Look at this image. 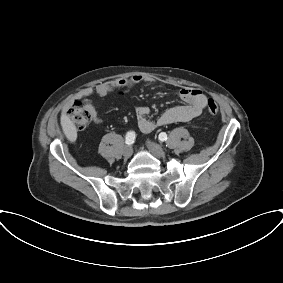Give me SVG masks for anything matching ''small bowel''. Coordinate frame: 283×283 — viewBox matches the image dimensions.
Wrapping results in <instances>:
<instances>
[{
    "mask_svg": "<svg viewBox=\"0 0 283 283\" xmlns=\"http://www.w3.org/2000/svg\"><path fill=\"white\" fill-rule=\"evenodd\" d=\"M154 82L155 80L152 77L134 75L128 79H119L113 82L101 83L94 89L86 88L80 92L79 98L84 104L91 108L93 121L97 124H100L103 122V120L91 104L90 98L93 94L98 96H106L113 92L124 94L137 84H153ZM179 96L185 102V104L166 109L156 120H150L148 118L150 109L147 106H136L135 114L139 129L143 133H150L160 126L175 122L190 121L201 114L208 101L207 96L198 89H182L179 93Z\"/></svg>",
    "mask_w": 283,
    "mask_h": 283,
    "instance_id": "1",
    "label": "small bowel"
}]
</instances>
